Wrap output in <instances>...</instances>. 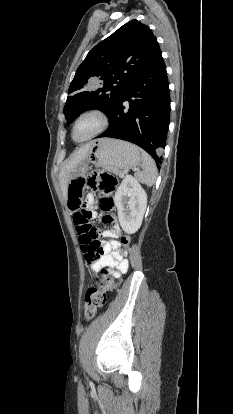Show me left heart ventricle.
Returning a JSON list of instances; mask_svg holds the SVG:
<instances>
[{
  "label": "left heart ventricle",
  "instance_id": "1",
  "mask_svg": "<svg viewBox=\"0 0 233 414\" xmlns=\"http://www.w3.org/2000/svg\"><path fill=\"white\" fill-rule=\"evenodd\" d=\"M96 127V120L93 118L83 119L78 125L75 136L80 139L89 134Z\"/></svg>",
  "mask_w": 233,
  "mask_h": 414
}]
</instances>
